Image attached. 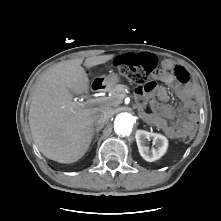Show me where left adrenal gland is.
Masks as SVG:
<instances>
[{"label":"left adrenal gland","instance_id":"obj_1","mask_svg":"<svg viewBox=\"0 0 221 221\" xmlns=\"http://www.w3.org/2000/svg\"><path fill=\"white\" fill-rule=\"evenodd\" d=\"M141 118L143 119V121H145L144 117L141 116Z\"/></svg>","mask_w":221,"mask_h":221}]
</instances>
